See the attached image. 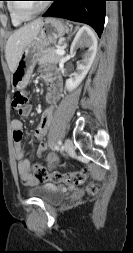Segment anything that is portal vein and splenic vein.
<instances>
[{
    "label": "portal vein and splenic vein",
    "mask_w": 133,
    "mask_h": 253,
    "mask_svg": "<svg viewBox=\"0 0 133 253\" xmlns=\"http://www.w3.org/2000/svg\"><path fill=\"white\" fill-rule=\"evenodd\" d=\"M56 53L59 54V55H64V54H65V51H64V49H62V48H58V49L56 50Z\"/></svg>",
    "instance_id": "18ae733b"
}]
</instances>
